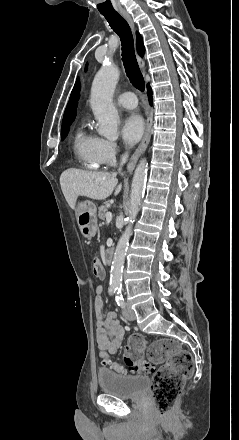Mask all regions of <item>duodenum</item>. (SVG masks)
Listing matches in <instances>:
<instances>
[{
  "instance_id": "duodenum-1",
  "label": "duodenum",
  "mask_w": 239,
  "mask_h": 440,
  "mask_svg": "<svg viewBox=\"0 0 239 440\" xmlns=\"http://www.w3.org/2000/svg\"><path fill=\"white\" fill-rule=\"evenodd\" d=\"M113 257H114V249L113 248H108L105 252V258H106V262L108 264L112 263L113 261Z\"/></svg>"
}]
</instances>
